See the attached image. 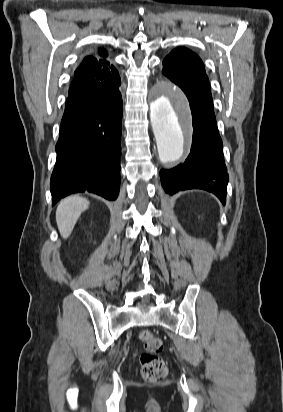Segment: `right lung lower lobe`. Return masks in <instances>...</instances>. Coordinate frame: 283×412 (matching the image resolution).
<instances>
[{
	"label": "right lung lower lobe",
	"instance_id": "98d812e1",
	"mask_svg": "<svg viewBox=\"0 0 283 412\" xmlns=\"http://www.w3.org/2000/svg\"><path fill=\"white\" fill-rule=\"evenodd\" d=\"M121 80H92L69 93L51 176L52 205L89 191L115 200L120 187Z\"/></svg>",
	"mask_w": 283,
	"mask_h": 412
}]
</instances>
